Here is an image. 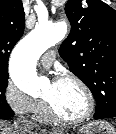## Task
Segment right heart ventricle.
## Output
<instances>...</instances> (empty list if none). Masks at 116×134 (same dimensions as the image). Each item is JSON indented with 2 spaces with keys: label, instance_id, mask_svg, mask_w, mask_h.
Here are the masks:
<instances>
[{
  "label": "right heart ventricle",
  "instance_id": "right-heart-ventricle-1",
  "mask_svg": "<svg viewBox=\"0 0 116 134\" xmlns=\"http://www.w3.org/2000/svg\"><path fill=\"white\" fill-rule=\"evenodd\" d=\"M35 116L40 121H48L51 118L44 103L37 110Z\"/></svg>",
  "mask_w": 116,
  "mask_h": 134
}]
</instances>
